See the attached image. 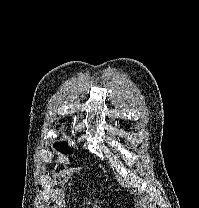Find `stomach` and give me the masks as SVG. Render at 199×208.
<instances>
[{
	"instance_id": "0dacf381",
	"label": "stomach",
	"mask_w": 199,
	"mask_h": 208,
	"mask_svg": "<svg viewBox=\"0 0 199 208\" xmlns=\"http://www.w3.org/2000/svg\"><path fill=\"white\" fill-rule=\"evenodd\" d=\"M126 202L128 203V199H124V201L118 202L117 206H121V208H123V206H125Z\"/></svg>"
}]
</instances>
